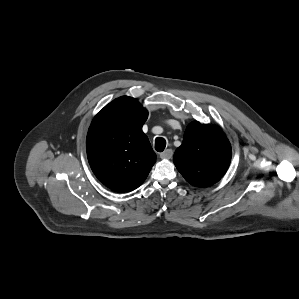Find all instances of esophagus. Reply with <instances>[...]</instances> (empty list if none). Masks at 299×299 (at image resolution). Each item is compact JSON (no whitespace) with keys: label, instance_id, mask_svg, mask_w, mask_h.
I'll list each match as a JSON object with an SVG mask.
<instances>
[{"label":"esophagus","instance_id":"esophagus-1","mask_svg":"<svg viewBox=\"0 0 299 299\" xmlns=\"http://www.w3.org/2000/svg\"><path fill=\"white\" fill-rule=\"evenodd\" d=\"M173 156V150L172 149H166L162 153H160V158L162 159H171Z\"/></svg>","mask_w":299,"mask_h":299}]
</instances>
